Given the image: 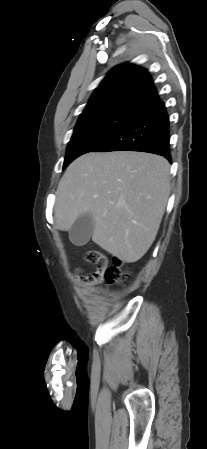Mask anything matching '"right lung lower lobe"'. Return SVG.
<instances>
[{"label":"right lung lower lobe","mask_w":207,"mask_h":449,"mask_svg":"<svg viewBox=\"0 0 207 449\" xmlns=\"http://www.w3.org/2000/svg\"><path fill=\"white\" fill-rule=\"evenodd\" d=\"M169 139V117L159 99L137 111L92 152L141 151L158 154L171 161Z\"/></svg>","instance_id":"obj_1"}]
</instances>
